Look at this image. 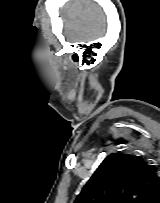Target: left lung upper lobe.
I'll list each match as a JSON object with an SVG mask.
<instances>
[{
  "label": "left lung upper lobe",
  "mask_w": 160,
  "mask_h": 203,
  "mask_svg": "<svg viewBox=\"0 0 160 203\" xmlns=\"http://www.w3.org/2000/svg\"><path fill=\"white\" fill-rule=\"evenodd\" d=\"M160 178L145 161L130 154L105 158L74 203H152Z\"/></svg>",
  "instance_id": "1"
}]
</instances>
